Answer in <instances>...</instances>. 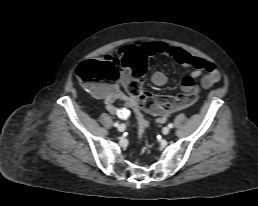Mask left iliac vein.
Listing matches in <instances>:
<instances>
[{
  "label": "left iliac vein",
  "instance_id": "1",
  "mask_svg": "<svg viewBox=\"0 0 258 206\" xmlns=\"http://www.w3.org/2000/svg\"><path fill=\"white\" fill-rule=\"evenodd\" d=\"M169 132H170V129H169L168 127H164L163 130H162V133H163L164 135L169 134Z\"/></svg>",
  "mask_w": 258,
  "mask_h": 206
}]
</instances>
